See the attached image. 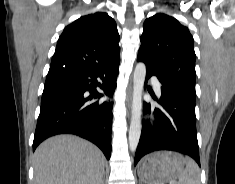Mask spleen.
Returning a JSON list of instances; mask_svg holds the SVG:
<instances>
[{
	"instance_id": "3e777b00",
	"label": "spleen",
	"mask_w": 235,
	"mask_h": 184,
	"mask_svg": "<svg viewBox=\"0 0 235 184\" xmlns=\"http://www.w3.org/2000/svg\"><path fill=\"white\" fill-rule=\"evenodd\" d=\"M186 168L180 174L178 184H200L199 168L191 158H185Z\"/></svg>"
}]
</instances>
